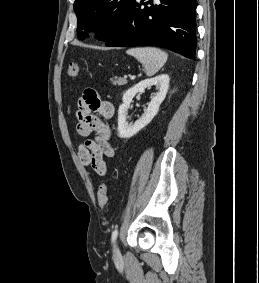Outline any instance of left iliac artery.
Listing matches in <instances>:
<instances>
[{
    "label": "left iliac artery",
    "instance_id": "left-iliac-artery-1",
    "mask_svg": "<svg viewBox=\"0 0 259 283\" xmlns=\"http://www.w3.org/2000/svg\"><path fill=\"white\" fill-rule=\"evenodd\" d=\"M117 236H118V230L115 229V230L112 232V238H111L112 242H114V241L116 240Z\"/></svg>",
    "mask_w": 259,
    "mask_h": 283
}]
</instances>
